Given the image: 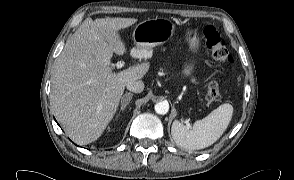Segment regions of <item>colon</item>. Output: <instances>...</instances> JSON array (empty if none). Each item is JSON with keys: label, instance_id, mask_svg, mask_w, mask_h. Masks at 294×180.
<instances>
[{"label": "colon", "instance_id": "colon-1", "mask_svg": "<svg viewBox=\"0 0 294 180\" xmlns=\"http://www.w3.org/2000/svg\"><path fill=\"white\" fill-rule=\"evenodd\" d=\"M203 36L207 47L210 49L212 56L221 62L232 63L233 57L224 46L223 40L220 34L213 26H206L203 29ZM220 89L216 80H211L207 84L205 98L208 101H216L219 97Z\"/></svg>", "mask_w": 294, "mask_h": 180}]
</instances>
